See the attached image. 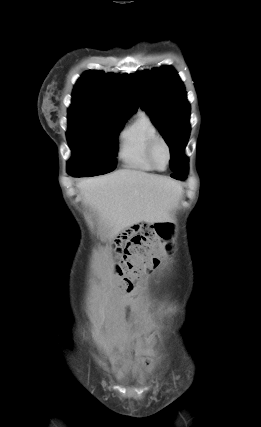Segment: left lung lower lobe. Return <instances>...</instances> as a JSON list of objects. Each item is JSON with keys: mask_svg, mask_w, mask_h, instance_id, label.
Returning <instances> with one entry per match:
<instances>
[{"mask_svg": "<svg viewBox=\"0 0 261 427\" xmlns=\"http://www.w3.org/2000/svg\"><path fill=\"white\" fill-rule=\"evenodd\" d=\"M188 172V159L186 160L185 165L178 170L177 172H174L171 177L178 179V180H184L186 178V174Z\"/></svg>", "mask_w": 261, "mask_h": 427, "instance_id": "left-lung-lower-lobe-1", "label": "left lung lower lobe"}]
</instances>
